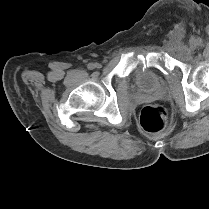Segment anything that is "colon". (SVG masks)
I'll return each mask as SVG.
<instances>
[{
	"instance_id": "1",
	"label": "colon",
	"mask_w": 209,
	"mask_h": 209,
	"mask_svg": "<svg viewBox=\"0 0 209 209\" xmlns=\"http://www.w3.org/2000/svg\"><path fill=\"white\" fill-rule=\"evenodd\" d=\"M168 113L161 106H149L140 113V124L144 130L157 133L164 130L168 124Z\"/></svg>"
}]
</instances>
